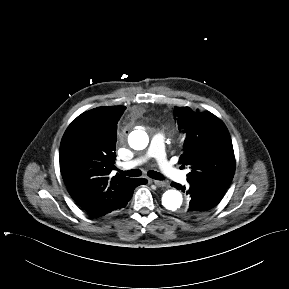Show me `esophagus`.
Wrapping results in <instances>:
<instances>
[{"label": "esophagus", "instance_id": "34e87169", "mask_svg": "<svg viewBox=\"0 0 289 289\" xmlns=\"http://www.w3.org/2000/svg\"><path fill=\"white\" fill-rule=\"evenodd\" d=\"M152 182L156 185V186H158V187H164V186H166V182H164V181H159V180H152Z\"/></svg>", "mask_w": 289, "mask_h": 289}]
</instances>
